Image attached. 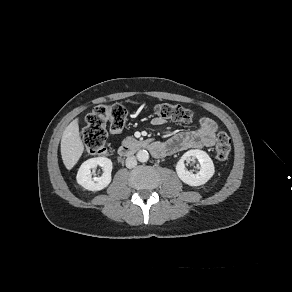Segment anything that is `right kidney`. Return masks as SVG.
Here are the masks:
<instances>
[{
	"instance_id": "1",
	"label": "right kidney",
	"mask_w": 292,
	"mask_h": 292,
	"mask_svg": "<svg viewBox=\"0 0 292 292\" xmlns=\"http://www.w3.org/2000/svg\"><path fill=\"white\" fill-rule=\"evenodd\" d=\"M100 165L103 168L101 177L92 178L91 169ZM112 161L106 157H96L86 160L80 166L76 180L79 185L89 191H100L111 182Z\"/></svg>"
}]
</instances>
